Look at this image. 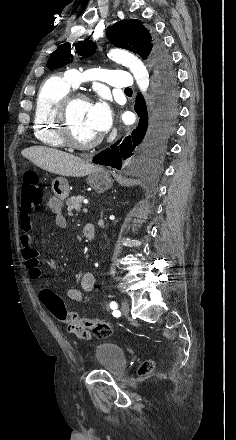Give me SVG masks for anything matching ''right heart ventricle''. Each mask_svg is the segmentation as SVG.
Returning a JSON list of instances; mask_svg holds the SVG:
<instances>
[{"instance_id": "e07e8e85", "label": "right heart ventricle", "mask_w": 236, "mask_h": 440, "mask_svg": "<svg viewBox=\"0 0 236 440\" xmlns=\"http://www.w3.org/2000/svg\"><path fill=\"white\" fill-rule=\"evenodd\" d=\"M72 89V84L62 75H54L44 81L36 97L34 108V136L42 144L63 148L58 136L53 112L57 102Z\"/></svg>"}]
</instances>
